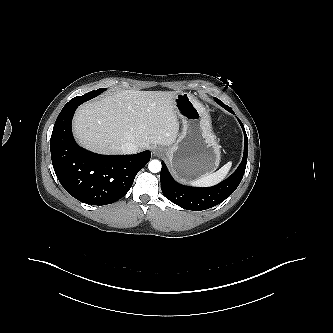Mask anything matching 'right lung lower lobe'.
<instances>
[{
  "instance_id": "1",
  "label": "right lung lower lobe",
  "mask_w": 333,
  "mask_h": 333,
  "mask_svg": "<svg viewBox=\"0 0 333 333\" xmlns=\"http://www.w3.org/2000/svg\"><path fill=\"white\" fill-rule=\"evenodd\" d=\"M78 106H64L55 122L50 141L54 171L61 185L77 200L91 205L114 203L129 191L151 152L101 155L81 148L71 130Z\"/></svg>"
}]
</instances>
